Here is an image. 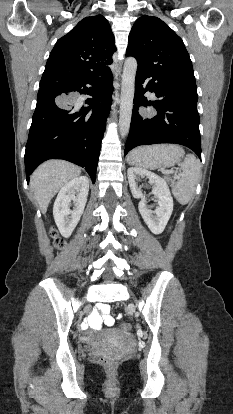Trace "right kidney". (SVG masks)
Masks as SVG:
<instances>
[{"mask_svg": "<svg viewBox=\"0 0 233 414\" xmlns=\"http://www.w3.org/2000/svg\"><path fill=\"white\" fill-rule=\"evenodd\" d=\"M89 192V179L80 176L67 182L60 190L53 207L55 223L64 237H69L83 214ZM74 203L73 210L70 206Z\"/></svg>", "mask_w": 233, "mask_h": 414, "instance_id": "obj_1", "label": "right kidney"}]
</instances>
